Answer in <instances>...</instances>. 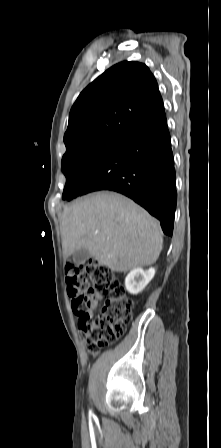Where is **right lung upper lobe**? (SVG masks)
Here are the masks:
<instances>
[{
    "label": "right lung upper lobe",
    "instance_id": "obj_1",
    "mask_svg": "<svg viewBox=\"0 0 221 448\" xmlns=\"http://www.w3.org/2000/svg\"><path fill=\"white\" fill-rule=\"evenodd\" d=\"M163 107L155 77L139 62L118 63L79 95L64 135L66 152L79 145L119 138Z\"/></svg>",
    "mask_w": 221,
    "mask_h": 448
}]
</instances>
